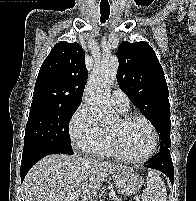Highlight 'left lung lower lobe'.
<instances>
[{
	"mask_svg": "<svg viewBox=\"0 0 196 201\" xmlns=\"http://www.w3.org/2000/svg\"><path fill=\"white\" fill-rule=\"evenodd\" d=\"M145 167L156 169L163 172L169 177L171 183L173 184L174 170L169 148L160 150V152L157 155H155L149 161V163L145 165Z\"/></svg>",
	"mask_w": 196,
	"mask_h": 201,
	"instance_id": "1",
	"label": "left lung lower lobe"
}]
</instances>
